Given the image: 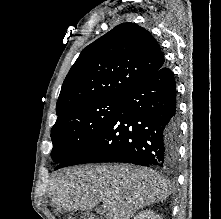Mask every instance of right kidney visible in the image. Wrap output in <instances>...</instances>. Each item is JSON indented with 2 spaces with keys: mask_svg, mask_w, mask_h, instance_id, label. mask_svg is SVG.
I'll return each instance as SVG.
<instances>
[{
  "mask_svg": "<svg viewBox=\"0 0 221 219\" xmlns=\"http://www.w3.org/2000/svg\"><path fill=\"white\" fill-rule=\"evenodd\" d=\"M133 219H162L160 215L154 213L152 210H143L138 213Z\"/></svg>",
  "mask_w": 221,
  "mask_h": 219,
  "instance_id": "1",
  "label": "right kidney"
}]
</instances>
